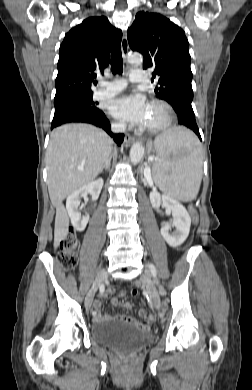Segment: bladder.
<instances>
[{
	"instance_id": "obj_1",
	"label": "bladder",
	"mask_w": 252,
	"mask_h": 390,
	"mask_svg": "<svg viewBox=\"0 0 252 390\" xmlns=\"http://www.w3.org/2000/svg\"><path fill=\"white\" fill-rule=\"evenodd\" d=\"M91 339L101 346L131 353L151 343L154 336L130 324L104 321L92 325Z\"/></svg>"
}]
</instances>
